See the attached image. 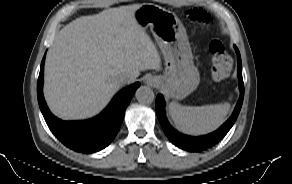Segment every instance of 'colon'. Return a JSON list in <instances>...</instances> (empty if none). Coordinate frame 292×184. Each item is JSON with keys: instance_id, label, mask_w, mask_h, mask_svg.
Here are the masks:
<instances>
[{"instance_id": "1", "label": "colon", "mask_w": 292, "mask_h": 184, "mask_svg": "<svg viewBox=\"0 0 292 184\" xmlns=\"http://www.w3.org/2000/svg\"><path fill=\"white\" fill-rule=\"evenodd\" d=\"M188 17L192 21L204 22L208 20V16L206 13L196 9L191 10L188 13ZM209 48L214 62L213 78L217 81H220L228 76L232 66V61L218 41L211 42Z\"/></svg>"}]
</instances>
